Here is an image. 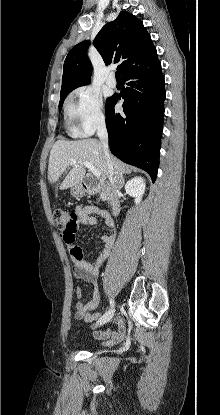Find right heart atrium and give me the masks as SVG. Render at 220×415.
I'll list each match as a JSON object with an SVG mask.
<instances>
[{
	"mask_svg": "<svg viewBox=\"0 0 220 415\" xmlns=\"http://www.w3.org/2000/svg\"><path fill=\"white\" fill-rule=\"evenodd\" d=\"M67 117L75 135L88 136L102 129L105 116L101 96L90 87L78 88L67 106Z\"/></svg>",
	"mask_w": 220,
	"mask_h": 415,
	"instance_id": "right-heart-atrium-1",
	"label": "right heart atrium"
}]
</instances>
